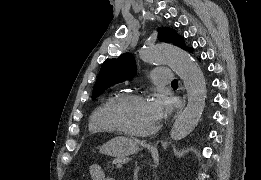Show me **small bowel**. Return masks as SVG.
Wrapping results in <instances>:
<instances>
[{"label":"small bowel","instance_id":"obj_1","mask_svg":"<svg viewBox=\"0 0 261 180\" xmlns=\"http://www.w3.org/2000/svg\"><path fill=\"white\" fill-rule=\"evenodd\" d=\"M89 174L93 180H105V174L101 167L97 164H92L89 167Z\"/></svg>","mask_w":261,"mask_h":180}]
</instances>
